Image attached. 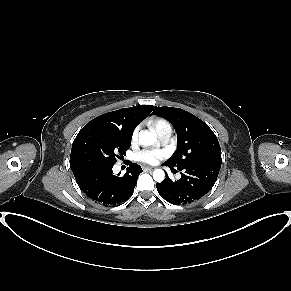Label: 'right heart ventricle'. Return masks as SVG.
I'll return each mask as SVG.
<instances>
[{"instance_id": "e07e8e85", "label": "right heart ventricle", "mask_w": 291, "mask_h": 291, "mask_svg": "<svg viewBox=\"0 0 291 291\" xmlns=\"http://www.w3.org/2000/svg\"><path fill=\"white\" fill-rule=\"evenodd\" d=\"M153 129L158 133L162 128L169 126V123L162 118H154L150 121Z\"/></svg>"}]
</instances>
